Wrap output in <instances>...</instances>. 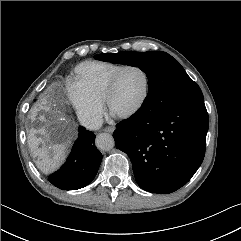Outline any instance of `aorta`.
Returning <instances> with one entry per match:
<instances>
[{
  "instance_id": "1",
  "label": "aorta",
  "mask_w": 241,
  "mask_h": 241,
  "mask_svg": "<svg viewBox=\"0 0 241 241\" xmlns=\"http://www.w3.org/2000/svg\"><path fill=\"white\" fill-rule=\"evenodd\" d=\"M96 146L103 151L111 150L115 146L113 136L109 133H100L96 137Z\"/></svg>"
}]
</instances>
